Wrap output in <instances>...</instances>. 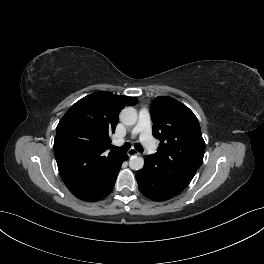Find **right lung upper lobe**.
<instances>
[{
	"instance_id": "right-lung-upper-lobe-1",
	"label": "right lung upper lobe",
	"mask_w": 264,
	"mask_h": 264,
	"mask_svg": "<svg viewBox=\"0 0 264 264\" xmlns=\"http://www.w3.org/2000/svg\"><path fill=\"white\" fill-rule=\"evenodd\" d=\"M137 98L102 91L77 101L56 128L54 153L67 188L79 199L94 202L108 192L125 153L107 152L118 116Z\"/></svg>"
}]
</instances>
